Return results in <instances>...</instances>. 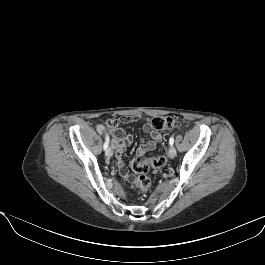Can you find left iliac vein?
I'll return each mask as SVG.
<instances>
[{"mask_svg": "<svg viewBox=\"0 0 265 265\" xmlns=\"http://www.w3.org/2000/svg\"><path fill=\"white\" fill-rule=\"evenodd\" d=\"M168 154L170 158H174L176 156V149L173 146H171L169 148Z\"/></svg>", "mask_w": 265, "mask_h": 265, "instance_id": "left-iliac-vein-1", "label": "left iliac vein"}]
</instances>
